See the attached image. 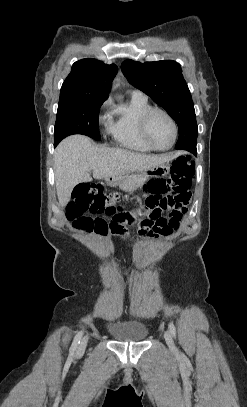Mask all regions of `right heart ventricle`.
<instances>
[{"instance_id":"right-heart-ventricle-1","label":"right heart ventricle","mask_w":247,"mask_h":407,"mask_svg":"<svg viewBox=\"0 0 247 407\" xmlns=\"http://www.w3.org/2000/svg\"><path fill=\"white\" fill-rule=\"evenodd\" d=\"M150 108L147 98L132 96L128 103L111 109L107 132L118 146L140 153L152 150L142 140L139 132V120Z\"/></svg>"}]
</instances>
